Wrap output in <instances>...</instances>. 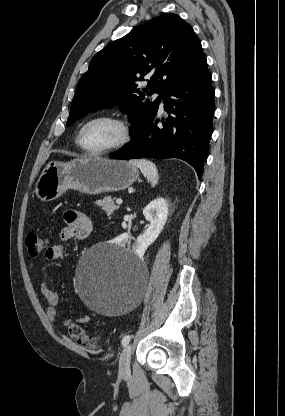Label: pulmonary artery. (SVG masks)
Wrapping results in <instances>:
<instances>
[{
    "mask_svg": "<svg viewBox=\"0 0 285 416\" xmlns=\"http://www.w3.org/2000/svg\"><path fill=\"white\" fill-rule=\"evenodd\" d=\"M165 94L164 93H162L161 91H156L154 94H153V97H159L160 99H161V102H160V111H163V108H164V106H165Z\"/></svg>",
    "mask_w": 285,
    "mask_h": 416,
    "instance_id": "pulmonary-artery-1",
    "label": "pulmonary artery"
}]
</instances>
